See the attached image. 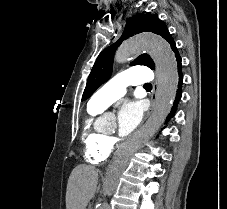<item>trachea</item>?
Masks as SVG:
<instances>
[{"mask_svg":"<svg viewBox=\"0 0 227 209\" xmlns=\"http://www.w3.org/2000/svg\"><path fill=\"white\" fill-rule=\"evenodd\" d=\"M145 87H152V84L148 83V84H144Z\"/></svg>","mask_w":227,"mask_h":209,"instance_id":"3493384b","label":"trachea"}]
</instances>
